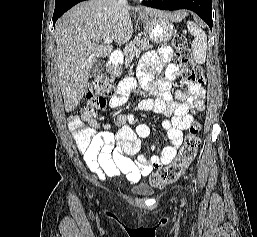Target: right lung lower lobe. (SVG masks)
Returning a JSON list of instances; mask_svg holds the SVG:
<instances>
[{"label": "right lung lower lobe", "mask_w": 257, "mask_h": 237, "mask_svg": "<svg viewBox=\"0 0 257 237\" xmlns=\"http://www.w3.org/2000/svg\"><path fill=\"white\" fill-rule=\"evenodd\" d=\"M85 0H58L55 1V10L53 14V25L57 19L61 17L67 10L76 5L77 3Z\"/></svg>", "instance_id": "right-lung-lower-lobe-1"}]
</instances>
